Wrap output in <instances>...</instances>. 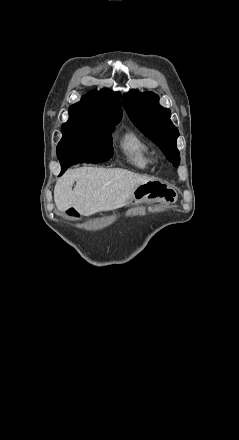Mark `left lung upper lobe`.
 I'll list each match as a JSON object with an SVG mask.
<instances>
[{"instance_id": "left-lung-upper-lobe-1", "label": "left lung upper lobe", "mask_w": 239, "mask_h": 440, "mask_svg": "<svg viewBox=\"0 0 239 440\" xmlns=\"http://www.w3.org/2000/svg\"><path fill=\"white\" fill-rule=\"evenodd\" d=\"M123 106L135 126L154 141L174 166L180 162L176 147L178 129L170 120V110L159 105V97L152 92L131 90L123 96Z\"/></svg>"}]
</instances>
